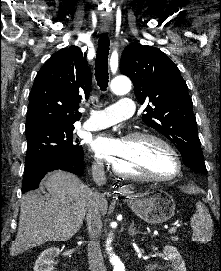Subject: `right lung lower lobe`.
I'll return each mask as SVG.
<instances>
[{"label": "right lung lower lobe", "instance_id": "1", "mask_svg": "<svg viewBox=\"0 0 221 271\" xmlns=\"http://www.w3.org/2000/svg\"><path fill=\"white\" fill-rule=\"evenodd\" d=\"M83 151L70 158L47 159L31 162L25 165L22 181V193L38 188L44 175L52 170L61 169L74 174L84 170Z\"/></svg>", "mask_w": 221, "mask_h": 271}]
</instances>
